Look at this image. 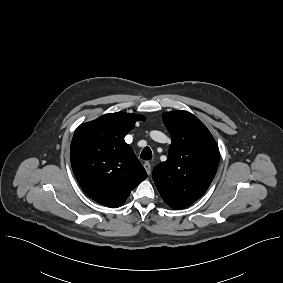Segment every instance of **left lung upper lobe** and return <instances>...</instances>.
<instances>
[{"label":"left lung upper lobe","mask_w":283,"mask_h":283,"mask_svg":"<svg viewBox=\"0 0 283 283\" xmlns=\"http://www.w3.org/2000/svg\"><path fill=\"white\" fill-rule=\"evenodd\" d=\"M171 135L169 155L153 169L163 200L182 209L199 199L211 184L219 163L218 146L206 126L187 111L165 112Z\"/></svg>","instance_id":"left-lung-upper-lobe-1"}]
</instances>
